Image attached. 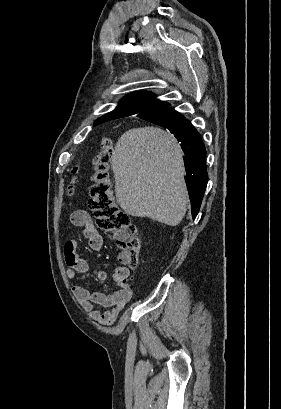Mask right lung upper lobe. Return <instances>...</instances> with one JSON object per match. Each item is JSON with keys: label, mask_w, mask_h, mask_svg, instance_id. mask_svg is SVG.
<instances>
[{"label": "right lung upper lobe", "mask_w": 281, "mask_h": 409, "mask_svg": "<svg viewBox=\"0 0 281 409\" xmlns=\"http://www.w3.org/2000/svg\"><path fill=\"white\" fill-rule=\"evenodd\" d=\"M168 106H170L168 103L156 100L152 93L134 92L125 96L120 101V105L115 110L98 118L95 121L94 125L133 114H140L147 111L161 109Z\"/></svg>", "instance_id": "right-lung-upper-lobe-1"}]
</instances>
